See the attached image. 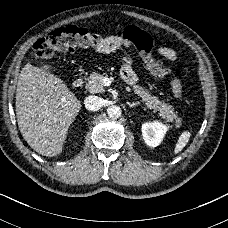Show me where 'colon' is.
<instances>
[{
    "instance_id": "5ec220e1",
    "label": "colon",
    "mask_w": 228,
    "mask_h": 228,
    "mask_svg": "<svg viewBox=\"0 0 228 228\" xmlns=\"http://www.w3.org/2000/svg\"><path fill=\"white\" fill-rule=\"evenodd\" d=\"M104 39L103 36L94 34L84 28L76 26L62 27L40 38L34 45L32 54L37 59H44L51 57L57 51L89 50L98 44H103ZM170 88L174 97L182 99V74L179 76L171 75Z\"/></svg>"
}]
</instances>
